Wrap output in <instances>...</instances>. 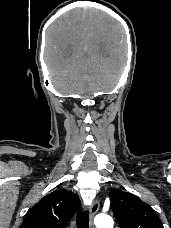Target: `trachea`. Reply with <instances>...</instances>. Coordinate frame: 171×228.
<instances>
[{
	"instance_id": "trachea-1",
	"label": "trachea",
	"mask_w": 171,
	"mask_h": 228,
	"mask_svg": "<svg viewBox=\"0 0 171 228\" xmlns=\"http://www.w3.org/2000/svg\"><path fill=\"white\" fill-rule=\"evenodd\" d=\"M76 224H77V228H88L89 227V213L88 212L78 213Z\"/></svg>"
}]
</instances>
